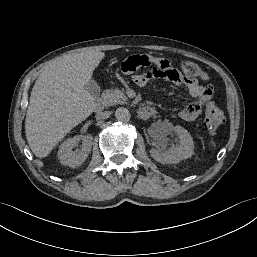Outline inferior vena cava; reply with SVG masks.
Here are the masks:
<instances>
[{
	"instance_id": "1",
	"label": "inferior vena cava",
	"mask_w": 257,
	"mask_h": 257,
	"mask_svg": "<svg viewBox=\"0 0 257 257\" xmlns=\"http://www.w3.org/2000/svg\"><path fill=\"white\" fill-rule=\"evenodd\" d=\"M111 115V112L109 111H104V112H99L97 115H96V118L97 119H107L109 118Z\"/></svg>"
}]
</instances>
